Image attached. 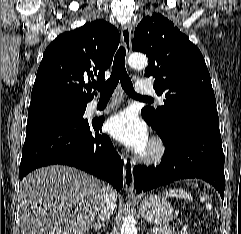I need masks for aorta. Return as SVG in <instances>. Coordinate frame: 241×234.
<instances>
[{
    "mask_svg": "<svg viewBox=\"0 0 241 234\" xmlns=\"http://www.w3.org/2000/svg\"><path fill=\"white\" fill-rule=\"evenodd\" d=\"M128 64L134 69H144L148 65V59L140 53H133L128 58ZM121 234H137L134 219L131 216L125 217L121 226Z\"/></svg>",
    "mask_w": 241,
    "mask_h": 234,
    "instance_id": "obj_1",
    "label": "aorta"
}]
</instances>
